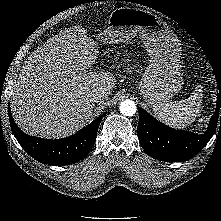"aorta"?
<instances>
[{
  "instance_id": "1",
  "label": "aorta",
  "mask_w": 221,
  "mask_h": 221,
  "mask_svg": "<svg viewBox=\"0 0 221 221\" xmlns=\"http://www.w3.org/2000/svg\"><path fill=\"white\" fill-rule=\"evenodd\" d=\"M119 110L124 116H133L137 111V107L134 101L125 100L120 103Z\"/></svg>"
}]
</instances>
